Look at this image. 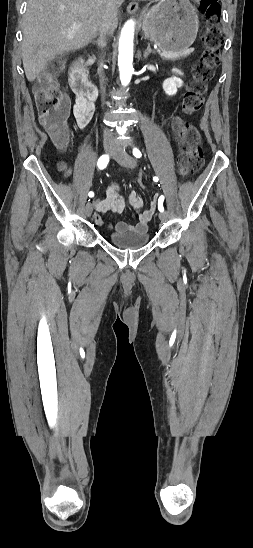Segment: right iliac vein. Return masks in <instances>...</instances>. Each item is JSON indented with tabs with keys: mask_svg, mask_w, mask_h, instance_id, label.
Instances as JSON below:
<instances>
[{
	"mask_svg": "<svg viewBox=\"0 0 253 548\" xmlns=\"http://www.w3.org/2000/svg\"><path fill=\"white\" fill-rule=\"evenodd\" d=\"M115 144L114 143H111V142H108V143H105L104 144V150H105V153L107 154H111L114 152L115 150ZM92 210H93V207H92V204L91 203H87L86 206H85V213L87 216H90L92 214Z\"/></svg>",
	"mask_w": 253,
	"mask_h": 548,
	"instance_id": "1",
	"label": "right iliac vein"
}]
</instances>
